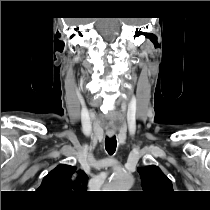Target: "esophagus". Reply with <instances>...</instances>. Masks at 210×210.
<instances>
[{
	"label": "esophagus",
	"instance_id": "esophagus-1",
	"mask_svg": "<svg viewBox=\"0 0 210 210\" xmlns=\"http://www.w3.org/2000/svg\"><path fill=\"white\" fill-rule=\"evenodd\" d=\"M113 133L112 132H108V135L111 136Z\"/></svg>",
	"mask_w": 210,
	"mask_h": 210
}]
</instances>
